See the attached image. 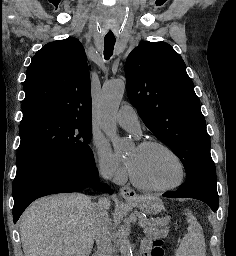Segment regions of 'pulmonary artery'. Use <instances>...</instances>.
I'll list each match as a JSON object with an SVG mask.
<instances>
[{"instance_id": "pulmonary-artery-1", "label": "pulmonary artery", "mask_w": 236, "mask_h": 256, "mask_svg": "<svg viewBox=\"0 0 236 256\" xmlns=\"http://www.w3.org/2000/svg\"><path fill=\"white\" fill-rule=\"evenodd\" d=\"M116 122L124 129L140 134V125L138 115L134 108L130 106L122 107L115 115Z\"/></svg>"}]
</instances>
